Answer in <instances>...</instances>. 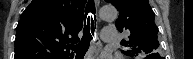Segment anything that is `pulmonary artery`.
I'll use <instances>...</instances> for the list:
<instances>
[{
    "label": "pulmonary artery",
    "mask_w": 193,
    "mask_h": 59,
    "mask_svg": "<svg viewBox=\"0 0 193 59\" xmlns=\"http://www.w3.org/2000/svg\"><path fill=\"white\" fill-rule=\"evenodd\" d=\"M113 31H114V28L106 27L103 31L102 40L104 42H115L116 37H115Z\"/></svg>",
    "instance_id": "1"
}]
</instances>
